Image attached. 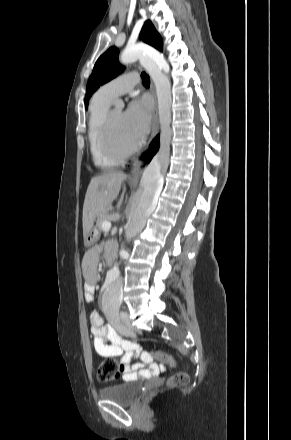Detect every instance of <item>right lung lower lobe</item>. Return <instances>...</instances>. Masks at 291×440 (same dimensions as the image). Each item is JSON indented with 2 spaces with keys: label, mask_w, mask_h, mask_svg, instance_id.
<instances>
[{
  "label": "right lung lower lobe",
  "mask_w": 291,
  "mask_h": 440,
  "mask_svg": "<svg viewBox=\"0 0 291 440\" xmlns=\"http://www.w3.org/2000/svg\"><path fill=\"white\" fill-rule=\"evenodd\" d=\"M159 149V136H157L151 143L150 149L147 153L144 154L142 159L147 160L149 162L153 155L158 151Z\"/></svg>",
  "instance_id": "98d812e1"
}]
</instances>
